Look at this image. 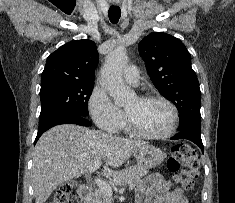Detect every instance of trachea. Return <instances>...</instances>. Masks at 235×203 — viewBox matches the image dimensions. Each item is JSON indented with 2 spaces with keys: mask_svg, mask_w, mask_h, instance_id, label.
<instances>
[{
  "mask_svg": "<svg viewBox=\"0 0 235 203\" xmlns=\"http://www.w3.org/2000/svg\"><path fill=\"white\" fill-rule=\"evenodd\" d=\"M121 16V10L118 6H111L108 11V17L112 23H117Z\"/></svg>",
  "mask_w": 235,
  "mask_h": 203,
  "instance_id": "3493384b",
  "label": "trachea"
}]
</instances>
